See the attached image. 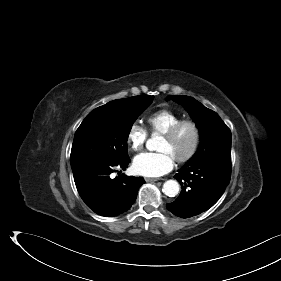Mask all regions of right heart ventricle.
Listing matches in <instances>:
<instances>
[{"mask_svg":"<svg viewBox=\"0 0 281 281\" xmlns=\"http://www.w3.org/2000/svg\"><path fill=\"white\" fill-rule=\"evenodd\" d=\"M180 120L181 116L167 109L158 110L147 117L149 129L153 134H164Z\"/></svg>","mask_w":281,"mask_h":281,"instance_id":"1","label":"right heart ventricle"}]
</instances>
